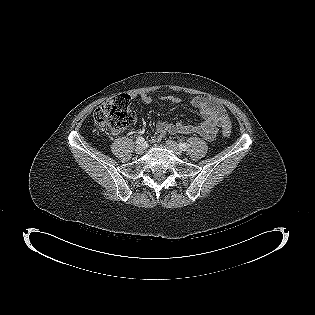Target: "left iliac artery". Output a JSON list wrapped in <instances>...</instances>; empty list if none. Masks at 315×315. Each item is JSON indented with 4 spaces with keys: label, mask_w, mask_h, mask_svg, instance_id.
<instances>
[{
    "label": "left iliac artery",
    "mask_w": 315,
    "mask_h": 315,
    "mask_svg": "<svg viewBox=\"0 0 315 315\" xmlns=\"http://www.w3.org/2000/svg\"><path fill=\"white\" fill-rule=\"evenodd\" d=\"M179 147H180L183 151H185V150L187 149V144L184 143V142H181V143L179 144Z\"/></svg>",
    "instance_id": "obj_1"
}]
</instances>
